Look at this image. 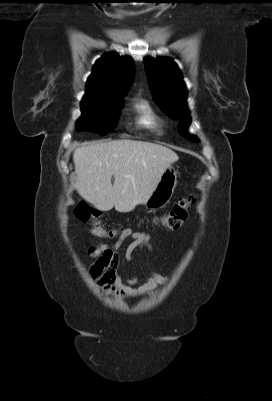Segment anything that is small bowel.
I'll return each instance as SVG.
<instances>
[{
  "instance_id": "obj_1",
  "label": "small bowel",
  "mask_w": 272,
  "mask_h": 401,
  "mask_svg": "<svg viewBox=\"0 0 272 401\" xmlns=\"http://www.w3.org/2000/svg\"><path fill=\"white\" fill-rule=\"evenodd\" d=\"M126 239H130V245L125 253V259L131 260L136 251L146 248L151 250L149 235L144 232L124 228L114 245L99 243L88 250L94 261L88 266V273L97 280L99 285L115 295L142 296L151 293L157 285L164 284L168 278L158 273H152L145 281L137 285L135 277L125 278L119 272L118 249Z\"/></svg>"
}]
</instances>
